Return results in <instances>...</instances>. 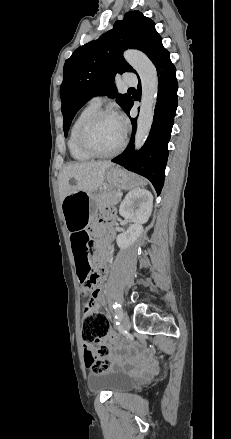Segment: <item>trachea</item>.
<instances>
[{"mask_svg":"<svg viewBox=\"0 0 231 439\" xmlns=\"http://www.w3.org/2000/svg\"><path fill=\"white\" fill-rule=\"evenodd\" d=\"M129 90H134V88H129Z\"/></svg>","mask_w":231,"mask_h":439,"instance_id":"1","label":"trachea"}]
</instances>
